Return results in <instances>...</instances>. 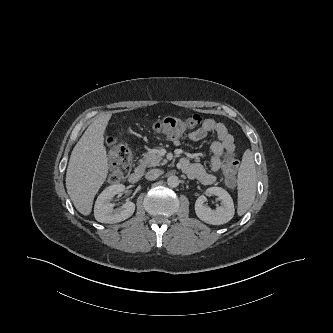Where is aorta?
I'll return each mask as SVG.
<instances>
[{"label": "aorta", "instance_id": "762f6f07", "mask_svg": "<svg viewBox=\"0 0 333 333\" xmlns=\"http://www.w3.org/2000/svg\"><path fill=\"white\" fill-rule=\"evenodd\" d=\"M179 183H180V180L175 175L169 176L168 179H167V184L171 188L177 187L179 185Z\"/></svg>", "mask_w": 333, "mask_h": 333}]
</instances>
